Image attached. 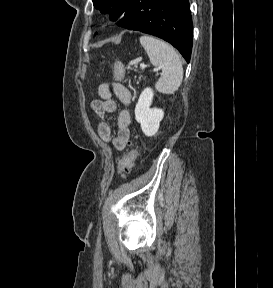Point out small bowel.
<instances>
[{
    "label": "small bowel",
    "instance_id": "c3829d8e",
    "mask_svg": "<svg viewBox=\"0 0 273 288\" xmlns=\"http://www.w3.org/2000/svg\"><path fill=\"white\" fill-rule=\"evenodd\" d=\"M98 94L100 99L91 102V109L101 119L116 110V103L112 99L113 94L124 106L117 118L118 131L116 135L112 134L107 122H101L97 127V133L104 142H111L116 149L122 150L130 137L131 115L128 106L132 100L131 92L120 82L111 81L100 84Z\"/></svg>",
    "mask_w": 273,
    "mask_h": 288
}]
</instances>
